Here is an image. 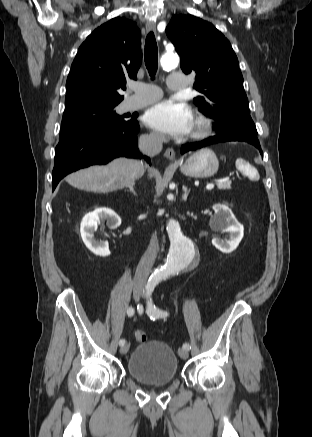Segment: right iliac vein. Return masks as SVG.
<instances>
[{
    "label": "right iliac vein",
    "instance_id": "right-iliac-vein-1",
    "mask_svg": "<svg viewBox=\"0 0 312 437\" xmlns=\"http://www.w3.org/2000/svg\"><path fill=\"white\" fill-rule=\"evenodd\" d=\"M142 291H143V282L140 278H137L135 283H134V287H133V295L136 301H138L142 295ZM129 350V344L126 343L124 345L121 346L120 348V353L121 354H126Z\"/></svg>",
    "mask_w": 312,
    "mask_h": 437
}]
</instances>
